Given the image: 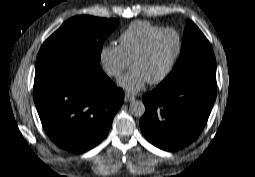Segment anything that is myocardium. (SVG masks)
Segmentation results:
<instances>
[{
  "instance_id": "f54148a6",
  "label": "myocardium",
  "mask_w": 255,
  "mask_h": 177,
  "mask_svg": "<svg viewBox=\"0 0 255 177\" xmlns=\"http://www.w3.org/2000/svg\"><path fill=\"white\" fill-rule=\"evenodd\" d=\"M164 33H173L175 35L176 40H177V48H176V51H175L173 57L169 61L167 67L165 68V70L157 78L148 80V82L150 84H159V83L163 82L170 75L171 71L173 70V68H174L176 62L178 61V59L182 53V50H183L182 37L179 34V32L174 28H163V29L157 31L156 33H154L153 35H151L148 38V40L143 45V47L139 50V52L131 60V64H132L134 61H136L140 58H143L148 53L149 49L151 48V46L153 45L155 40Z\"/></svg>"
}]
</instances>
